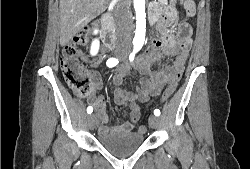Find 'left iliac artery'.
<instances>
[{
  "label": "left iliac artery",
  "mask_w": 250,
  "mask_h": 169,
  "mask_svg": "<svg viewBox=\"0 0 250 169\" xmlns=\"http://www.w3.org/2000/svg\"><path fill=\"white\" fill-rule=\"evenodd\" d=\"M137 51H138V50L133 51V53L130 54V56H129V60H130V61H133V60H134L135 53H136ZM154 115L159 116V115H160V110H159V109H155V110H154Z\"/></svg>",
  "instance_id": "44dca946"
}]
</instances>
